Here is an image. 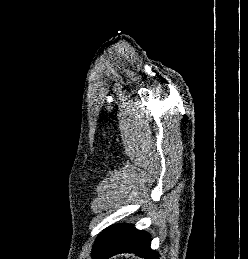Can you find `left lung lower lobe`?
<instances>
[{
    "mask_svg": "<svg viewBox=\"0 0 248 259\" xmlns=\"http://www.w3.org/2000/svg\"><path fill=\"white\" fill-rule=\"evenodd\" d=\"M118 253H135L145 259H159V255L150 248V236L146 232L133 228V225L111 226L96 239L93 259H107Z\"/></svg>",
    "mask_w": 248,
    "mask_h": 259,
    "instance_id": "obj_1",
    "label": "left lung lower lobe"
}]
</instances>
